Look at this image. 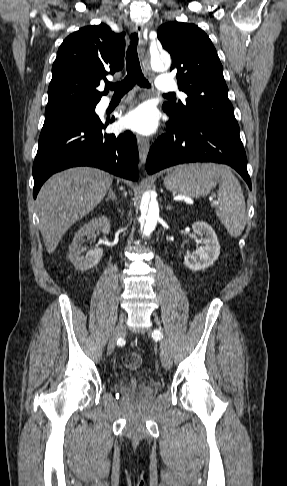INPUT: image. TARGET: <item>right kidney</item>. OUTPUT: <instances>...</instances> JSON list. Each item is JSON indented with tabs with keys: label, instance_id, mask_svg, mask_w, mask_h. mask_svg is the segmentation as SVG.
Returning a JSON list of instances; mask_svg holds the SVG:
<instances>
[{
	"label": "right kidney",
	"instance_id": "right-kidney-1",
	"mask_svg": "<svg viewBox=\"0 0 287 486\" xmlns=\"http://www.w3.org/2000/svg\"><path fill=\"white\" fill-rule=\"evenodd\" d=\"M101 231L104 234L110 232V221L107 217L101 216L91 219L84 224L76 233L71 245L69 246L68 257L79 271H86L96 266L102 258L103 249L95 248L94 250H88L86 255L83 253L86 248L82 246L84 237H90L95 231Z\"/></svg>",
	"mask_w": 287,
	"mask_h": 486
}]
</instances>
